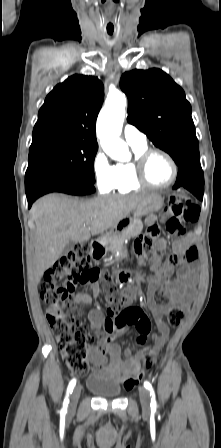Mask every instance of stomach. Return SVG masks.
Here are the masks:
<instances>
[{
	"mask_svg": "<svg viewBox=\"0 0 221 448\" xmlns=\"http://www.w3.org/2000/svg\"><path fill=\"white\" fill-rule=\"evenodd\" d=\"M163 198L158 194H152L148 199L143 201L135 210L134 218H139L145 215L153 214L159 211L163 206ZM134 218L126 217L121 220L114 228L111 229L109 233V237L112 238L118 234L120 231L125 230L129 227L133 222Z\"/></svg>",
	"mask_w": 221,
	"mask_h": 448,
	"instance_id": "stomach-1",
	"label": "stomach"
}]
</instances>
